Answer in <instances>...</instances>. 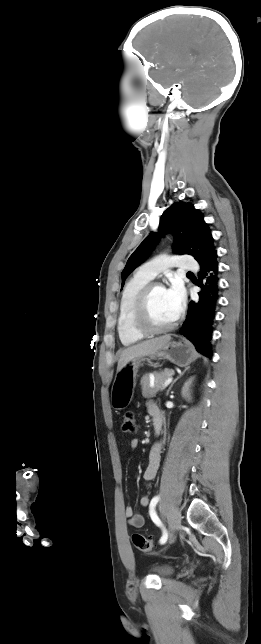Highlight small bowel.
Instances as JSON below:
<instances>
[{
	"instance_id": "c3829d8e",
	"label": "small bowel",
	"mask_w": 261,
	"mask_h": 644,
	"mask_svg": "<svg viewBox=\"0 0 261 644\" xmlns=\"http://www.w3.org/2000/svg\"><path fill=\"white\" fill-rule=\"evenodd\" d=\"M147 411L149 415L154 418L155 415L162 417L161 410L158 405L154 402H148ZM139 445L137 439H132L130 441V448L136 449ZM162 453V442L155 443L150 449L148 456V465L143 473V479L145 482H149L155 478ZM139 503L142 507H148L150 504V498L147 495H143ZM125 517L128 520V524L134 528H140L145 524V517L141 513H134V510L131 506H127L124 511Z\"/></svg>"
}]
</instances>
